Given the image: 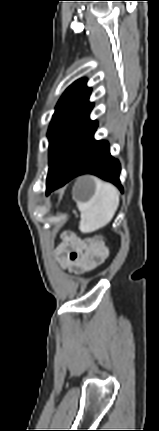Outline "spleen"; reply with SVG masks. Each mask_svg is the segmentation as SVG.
<instances>
[{"label":"spleen","instance_id":"3e777b00","mask_svg":"<svg viewBox=\"0 0 159 431\" xmlns=\"http://www.w3.org/2000/svg\"><path fill=\"white\" fill-rule=\"evenodd\" d=\"M119 191L110 183L96 179V191L88 202H78L81 212L80 230L93 232L106 226L119 206Z\"/></svg>","mask_w":159,"mask_h":431}]
</instances>
